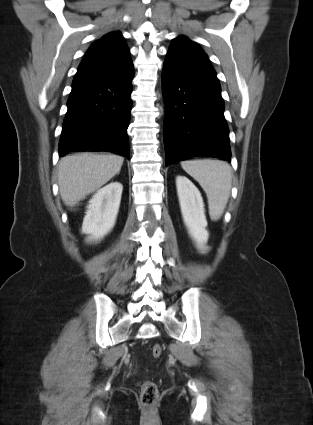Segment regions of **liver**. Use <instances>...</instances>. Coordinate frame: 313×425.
<instances>
[{"instance_id":"6515ba94","label":"liver","mask_w":313,"mask_h":425,"mask_svg":"<svg viewBox=\"0 0 313 425\" xmlns=\"http://www.w3.org/2000/svg\"><path fill=\"white\" fill-rule=\"evenodd\" d=\"M124 158L114 154L79 153L63 157L58 166L59 191L73 207L120 172Z\"/></svg>"}]
</instances>
